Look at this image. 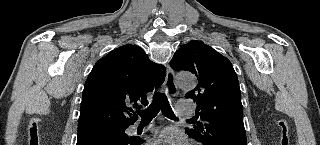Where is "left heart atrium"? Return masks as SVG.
Listing matches in <instances>:
<instances>
[{
	"label": "left heart atrium",
	"mask_w": 320,
	"mask_h": 145,
	"mask_svg": "<svg viewBox=\"0 0 320 145\" xmlns=\"http://www.w3.org/2000/svg\"><path fill=\"white\" fill-rule=\"evenodd\" d=\"M153 145H186L184 137L174 129H166L153 138Z\"/></svg>",
	"instance_id": "left-heart-atrium-1"
}]
</instances>
